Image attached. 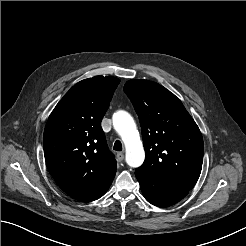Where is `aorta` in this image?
I'll use <instances>...</instances> for the list:
<instances>
[{"instance_id": "762f6f07", "label": "aorta", "mask_w": 246, "mask_h": 246, "mask_svg": "<svg viewBox=\"0 0 246 246\" xmlns=\"http://www.w3.org/2000/svg\"><path fill=\"white\" fill-rule=\"evenodd\" d=\"M113 126L125 144L127 164L133 168L141 166L145 152L133 117L126 111H117L113 115Z\"/></svg>"}]
</instances>
